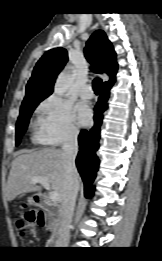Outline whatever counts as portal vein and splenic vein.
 I'll use <instances>...</instances> for the list:
<instances>
[{"label": "portal vein and splenic vein", "instance_id": "18ae733b", "mask_svg": "<svg viewBox=\"0 0 162 261\" xmlns=\"http://www.w3.org/2000/svg\"><path fill=\"white\" fill-rule=\"evenodd\" d=\"M31 183L36 184L39 183L41 184L46 190L49 191V199L52 202H58L59 201V194L56 191H52L50 187V182L47 178L45 177H32Z\"/></svg>", "mask_w": 162, "mask_h": 261}]
</instances>
